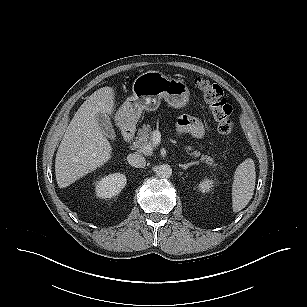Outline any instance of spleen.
Returning a JSON list of instances; mask_svg holds the SVG:
<instances>
[{"instance_id":"obj_1","label":"spleen","mask_w":307,"mask_h":307,"mask_svg":"<svg viewBox=\"0 0 307 307\" xmlns=\"http://www.w3.org/2000/svg\"><path fill=\"white\" fill-rule=\"evenodd\" d=\"M256 181L255 164L247 158L236 169L232 184V208L239 212L252 199Z\"/></svg>"}]
</instances>
